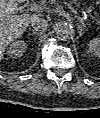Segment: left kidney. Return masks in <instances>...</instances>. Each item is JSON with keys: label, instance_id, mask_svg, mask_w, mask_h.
Here are the masks:
<instances>
[{"label": "left kidney", "instance_id": "5707ae66", "mask_svg": "<svg viewBox=\"0 0 100 118\" xmlns=\"http://www.w3.org/2000/svg\"><path fill=\"white\" fill-rule=\"evenodd\" d=\"M88 47H89V52L93 56L95 57L100 56V40L98 38L91 40L88 44Z\"/></svg>", "mask_w": 100, "mask_h": 118}]
</instances>
